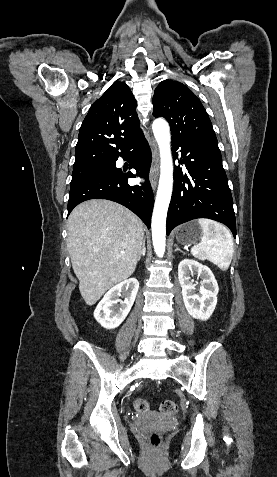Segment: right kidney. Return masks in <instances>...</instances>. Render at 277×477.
<instances>
[{
	"instance_id": "right-kidney-1",
	"label": "right kidney",
	"mask_w": 277,
	"mask_h": 477,
	"mask_svg": "<svg viewBox=\"0 0 277 477\" xmlns=\"http://www.w3.org/2000/svg\"><path fill=\"white\" fill-rule=\"evenodd\" d=\"M138 289L139 282L136 278L126 279L112 287L94 311L96 321L106 329L118 327L130 312Z\"/></svg>"
}]
</instances>
